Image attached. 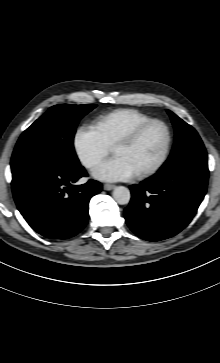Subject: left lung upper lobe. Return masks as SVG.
<instances>
[{
	"label": "left lung upper lobe",
	"mask_w": 220,
	"mask_h": 363,
	"mask_svg": "<svg viewBox=\"0 0 220 363\" xmlns=\"http://www.w3.org/2000/svg\"><path fill=\"white\" fill-rule=\"evenodd\" d=\"M167 112L175 128V142L172 152L164 165L171 164L191 154L206 155L207 153L203 142L195 129L170 110H167Z\"/></svg>",
	"instance_id": "obj_1"
}]
</instances>
